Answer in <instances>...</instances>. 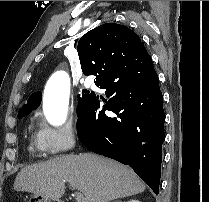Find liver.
Masks as SVG:
<instances>
[{"label":"liver","instance_id":"1","mask_svg":"<svg viewBox=\"0 0 209 202\" xmlns=\"http://www.w3.org/2000/svg\"><path fill=\"white\" fill-rule=\"evenodd\" d=\"M66 181L83 193L86 202H110L145 190L130 168L92 153L62 155L24 167L13 188L59 199L65 192Z\"/></svg>","mask_w":209,"mask_h":202}]
</instances>
